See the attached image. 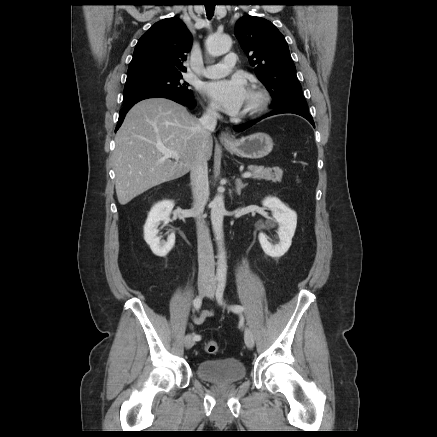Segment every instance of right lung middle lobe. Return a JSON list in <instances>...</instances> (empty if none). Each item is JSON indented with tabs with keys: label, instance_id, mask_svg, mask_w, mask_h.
<instances>
[{
	"label": "right lung middle lobe",
	"instance_id": "1",
	"mask_svg": "<svg viewBox=\"0 0 437 437\" xmlns=\"http://www.w3.org/2000/svg\"><path fill=\"white\" fill-rule=\"evenodd\" d=\"M181 73H127L123 105L157 95L193 96Z\"/></svg>",
	"mask_w": 437,
	"mask_h": 437
}]
</instances>
